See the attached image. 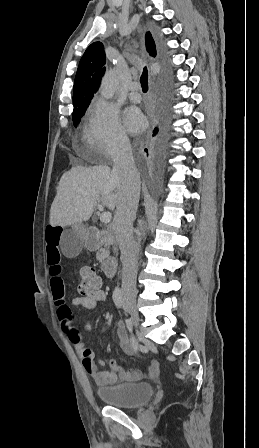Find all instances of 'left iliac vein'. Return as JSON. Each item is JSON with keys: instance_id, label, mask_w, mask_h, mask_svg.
Returning a JSON list of instances; mask_svg holds the SVG:
<instances>
[{"instance_id": "obj_1", "label": "left iliac vein", "mask_w": 259, "mask_h": 448, "mask_svg": "<svg viewBox=\"0 0 259 448\" xmlns=\"http://www.w3.org/2000/svg\"><path fill=\"white\" fill-rule=\"evenodd\" d=\"M124 309H125L126 311H128L127 308H126V306H124Z\"/></svg>"}]
</instances>
